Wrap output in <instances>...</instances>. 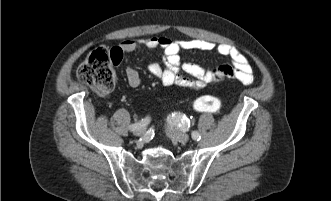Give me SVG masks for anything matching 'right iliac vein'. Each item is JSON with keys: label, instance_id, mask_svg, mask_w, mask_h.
<instances>
[{"label": "right iliac vein", "instance_id": "obj_1", "mask_svg": "<svg viewBox=\"0 0 331 201\" xmlns=\"http://www.w3.org/2000/svg\"><path fill=\"white\" fill-rule=\"evenodd\" d=\"M145 132V128L143 126L138 127L133 131L134 135L139 136Z\"/></svg>", "mask_w": 331, "mask_h": 201}]
</instances>
